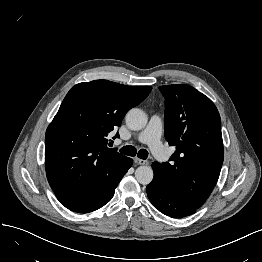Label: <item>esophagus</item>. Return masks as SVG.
<instances>
[{"label": "esophagus", "mask_w": 262, "mask_h": 262, "mask_svg": "<svg viewBox=\"0 0 262 262\" xmlns=\"http://www.w3.org/2000/svg\"><path fill=\"white\" fill-rule=\"evenodd\" d=\"M134 162L138 165H145V164H148V161L147 160H143V159H140V158H137L135 157L134 158Z\"/></svg>", "instance_id": "esophagus-1"}]
</instances>
